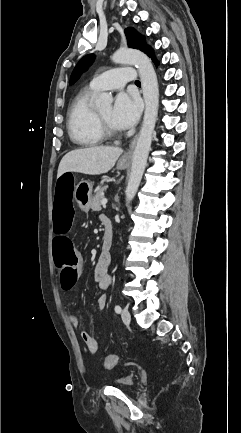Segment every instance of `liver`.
<instances>
[{
    "label": "liver",
    "mask_w": 241,
    "mask_h": 433,
    "mask_svg": "<svg viewBox=\"0 0 241 433\" xmlns=\"http://www.w3.org/2000/svg\"><path fill=\"white\" fill-rule=\"evenodd\" d=\"M123 150L119 147L97 146L68 152L60 161L57 177L65 172L100 175L113 168Z\"/></svg>",
    "instance_id": "6515ba94"
}]
</instances>
